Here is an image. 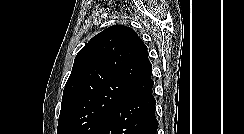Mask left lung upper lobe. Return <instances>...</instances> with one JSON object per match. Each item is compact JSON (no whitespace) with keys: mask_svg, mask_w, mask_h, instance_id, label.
<instances>
[{"mask_svg":"<svg viewBox=\"0 0 244 134\" xmlns=\"http://www.w3.org/2000/svg\"><path fill=\"white\" fill-rule=\"evenodd\" d=\"M147 47L129 27L111 26L77 54L66 82L57 134H98L111 113L153 88Z\"/></svg>","mask_w":244,"mask_h":134,"instance_id":"obj_1","label":"left lung upper lobe"}]
</instances>
